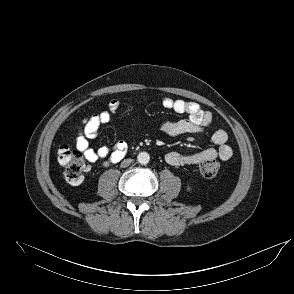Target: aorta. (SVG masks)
Segmentation results:
<instances>
[{
	"instance_id": "1",
	"label": "aorta",
	"mask_w": 294,
	"mask_h": 294,
	"mask_svg": "<svg viewBox=\"0 0 294 294\" xmlns=\"http://www.w3.org/2000/svg\"><path fill=\"white\" fill-rule=\"evenodd\" d=\"M137 160L140 164H148L150 161V155L147 152H140L137 156Z\"/></svg>"
}]
</instances>
